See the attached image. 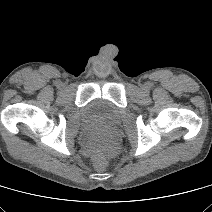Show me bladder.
I'll use <instances>...</instances> for the list:
<instances>
[{"mask_svg":"<svg viewBox=\"0 0 212 212\" xmlns=\"http://www.w3.org/2000/svg\"><path fill=\"white\" fill-rule=\"evenodd\" d=\"M121 121V110L111 102L98 98L90 101L82 112V128L112 127Z\"/></svg>","mask_w":212,"mask_h":212,"instance_id":"bladder-1","label":"bladder"}]
</instances>
